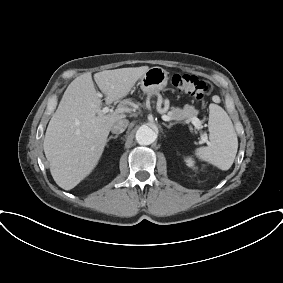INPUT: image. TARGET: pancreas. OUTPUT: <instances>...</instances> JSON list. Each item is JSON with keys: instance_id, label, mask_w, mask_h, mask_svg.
<instances>
[{"instance_id": "obj_1", "label": "pancreas", "mask_w": 283, "mask_h": 283, "mask_svg": "<svg viewBox=\"0 0 283 283\" xmlns=\"http://www.w3.org/2000/svg\"><path fill=\"white\" fill-rule=\"evenodd\" d=\"M197 115L198 110H196L192 105H185L183 109L173 107L171 111L168 112V116L177 121H182L185 119L191 120Z\"/></svg>"}]
</instances>
